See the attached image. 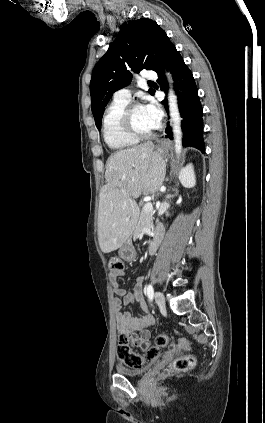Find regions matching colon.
<instances>
[{
  "mask_svg": "<svg viewBox=\"0 0 265 423\" xmlns=\"http://www.w3.org/2000/svg\"><path fill=\"white\" fill-rule=\"evenodd\" d=\"M109 268L113 272H121L124 269L123 261L112 256L109 260ZM169 344L168 334H159L155 339V344L147 349L145 354H138L131 350L128 344V336L121 333L117 344V358L128 368H142L147 360H153L160 354L161 349ZM181 345L188 348L189 344L186 339H181ZM195 358L192 355H185L177 358L172 365V370L177 372L186 371L195 364Z\"/></svg>",
  "mask_w": 265,
  "mask_h": 423,
  "instance_id": "1",
  "label": "colon"
}]
</instances>
